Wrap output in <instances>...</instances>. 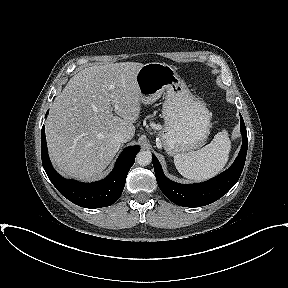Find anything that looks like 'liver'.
Instances as JSON below:
<instances>
[{
  "instance_id": "6515ba94",
  "label": "liver",
  "mask_w": 288,
  "mask_h": 288,
  "mask_svg": "<svg viewBox=\"0 0 288 288\" xmlns=\"http://www.w3.org/2000/svg\"><path fill=\"white\" fill-rule=\"evenodd\" d=\"M138 62L92 66L75 74L56 96L46 121L49 156L63 176L91 179L101 174L135 134L141 111ZM113 111L116 115L113 114Z\"/></svg>"
}]
</instances>
